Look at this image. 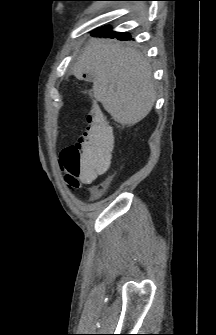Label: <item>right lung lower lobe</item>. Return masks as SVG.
I'll list each match as a JSON object with an SVG mask.
<instances>
[{
    "mask_svg": "<svg viewBox=\"0 0 216 335\" xmlns=\"http://www.w3.org/2000/svg\"><path fill=\"white\" fill-rule=\"evenodd\" d=\"M92 36H101L110 37V38H117L119 40H130L131 36L128 33H121V32H113L110 30L109 26L102 27L99 29L94 30L91 33Z\"/></svg>",
    "mask_w": 216,
    "mask_h": 335,
    "instance_id": "98d812e1",
    "label": "right lung lower lobe"
}]
</instances>
